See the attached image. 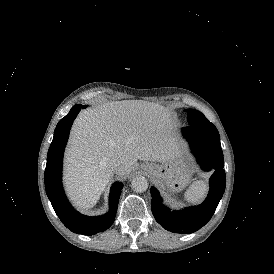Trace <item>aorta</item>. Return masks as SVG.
Here are the masks:
<instances>
[{
	"instance_id": "762f6f07",
	"label": "aorta",
	"mask_w": 274,
	"mask_h": 274,
	"mask_svg": "<svg viewBox=\"0 0 274 274\" xmlns=\"http://www.w3.org/2000/svg\"><path fill=\"white\" fill-rule=\"evenodd\" d=\"M131 188L138 193L144 192L148 188V182L145 177L137 176L131 181Z\"/></svg>"
}]
</instances>
